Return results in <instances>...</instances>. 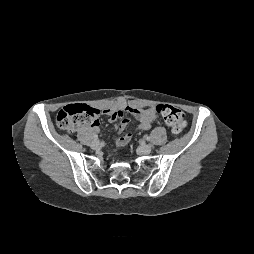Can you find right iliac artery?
Returning <instances> with one entry per match:
<instances>
[{
  "instance_id": "1",
  "label": "right iliac artery",
  "mask_w": 254,
  "mask_h": 254,
  "mask_svg": "<svg viewBox=\"0 0 254 254\" xmlns=\"http://www.w3.org/2000/svg\"><path fill=\"white\" fill-rule=\"evenodd\" d=\"M94 139H95V140H97V139H98V136H97V135H95V136H94Z\"/></svg>"
}]
</instances>
